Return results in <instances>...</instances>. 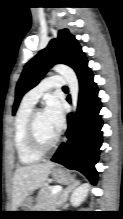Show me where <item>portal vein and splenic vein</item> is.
<instances>
[{"instance_id":"1","label":"portal vein and splenic vein","mask_w":123,"mask_h":219,"mask_svg":"<svg viewBox=\"0 0 123 219\" xmlns=\"http://www.w3.org/2000/svg\"><path fill=\"white\" fill-rule=\"evenodd\" d=\"M62 190L61 186H54L52 188V196H55L57 193H59Z\"/></svg>"}]
</instances>
